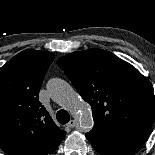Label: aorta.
Wrapping results in <instances>:
<instances>
[{"label": "aorta", "mask_w": 155, "mask_h": 155, "mask_svg": "<svg viewBox=\"0 0 155 155\" xmlns=\"http://www.w3.org/2000/svg\"><path fill=\"white\" fill-rule=\"evenodd\" d=\"M48 90L55 102L75 115L84 132L93 128L94 121L89 104L77 95L69 83L59 78H53L48 82Z\"/></svg>", "instance_id": "obj_1"}]
</instances>
